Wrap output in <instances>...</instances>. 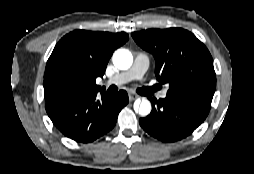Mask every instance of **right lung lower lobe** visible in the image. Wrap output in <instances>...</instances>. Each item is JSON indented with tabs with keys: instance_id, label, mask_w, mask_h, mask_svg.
Returning a JSON list of instances; mask_svg holds the SVG:
<instances>
[{
	"instance_id": "obj_1",
	"label": "right lung lower lobe",
	"mask_w": 254,
	"mask_h": 174,
	"mask_svg": "<svg viewBox=\"0 0 254 174\" xmlns=\"http://www.w3.org/2000/svg\"><path fill=\"white\" fill-rule=\"evenodd\" d=\"M99 92L101 97L98 96ZM128 101L124 90L109 96L104 89H98L47 98L45 108L53 124L65 136L77 142L89 143L115 126L119 112Z\"/></svg>"
}]
</instances>
